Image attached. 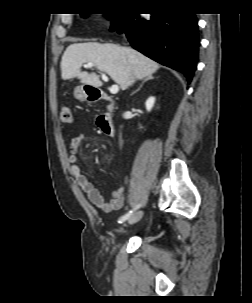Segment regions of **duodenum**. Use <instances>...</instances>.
Segmentation results:
<instances>
[{
    "mask_svg": "<svg viewBox=\"0 0 252 303\" xmlns=\"http://www.w3.org/2000/svg\"><path fill=\"white\" fill-rule=\"evenodd\" d=\"M86 94L90 101L105 100L108 102L107 111L98 117V126L106 136L113 137L115 130L111 118L112 113L117 108L116 101L105 93L93 89H86Z\"/></svg>",
    "mask_w": 252,
    "mask_h": 303,
    "instance_id": "obj_1",
    "label": "duodenum"
}]
</instances>
